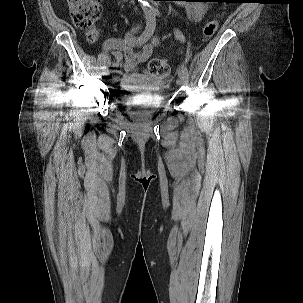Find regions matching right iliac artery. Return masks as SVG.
I'll use <instances>...</instances> for the list:
<instances>
[{
  "label": "right iliac artery",
  "instance_id": "obj_1",
  "mask_svg": "<svg viewBox=\"0 0 303 303\" xmlns=\"http://www.w3.org/2000/svg\"><path fill=\"white\" fill-rule=\"evenodd\" d=\"M156 27V16H151L146 14V27L143 33L139 37V43L146 42L153 34ZM118 64L113 63L111 66V71L115 72L117 70Z\"/></svg>",
  "mask_w": 303,
  "mask_h": 303
}]
</instances>
